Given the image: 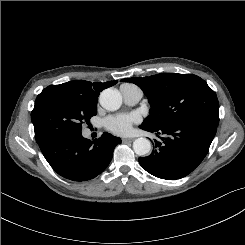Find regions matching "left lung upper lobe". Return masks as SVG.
<instances>
[{
    "mask_svg": "<svg viewBox=\"0 0 245 245\" xmlns=\"http://www.w3.org/2000/svg\"><path fill=\"white\" fill-rule=\"evenodd\" d=\"M123 81L138 85L151 105L149 116L142 127L160 128L189 119L203 120L218 126L217 96L196 75L162 73Z\"/></svg>",
    "mask_w": 245,
    "mask_h": 245,
    "instance_id": "obj_1",
    "label": "left lung upper lobe"
}]
</instances>
